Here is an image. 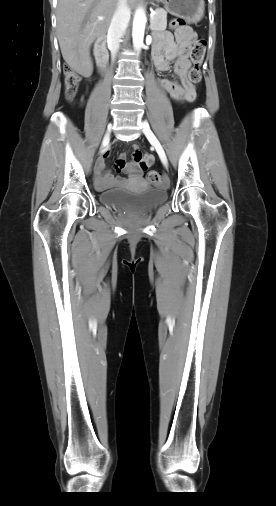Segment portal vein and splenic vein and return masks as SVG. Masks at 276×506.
<instances>
[{
    "instance_id": "portal-vein-and-splenic-vein-1",
    "label": "portal vein and splenic vein",
    "mask_w": 276,
    "mask_h": 506,
    "mask_svg": "<svg viewBox=\"0 0 276 506\" xmlns=\"http://www.w3.org/2000/svg\"><path fill=\"white\" fill-rule=\"evenodd\" d=\"M155 13H156V12H151V14H150V20H152V19H153V17H154V15H155ZM98 19H99V20H103L104 18H103V17H99Z\"/></svg>"
}]
</instances>
